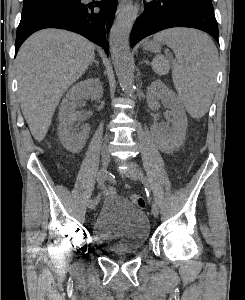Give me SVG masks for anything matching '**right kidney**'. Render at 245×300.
Wrapping results in <instances>:
<instances>
[{
    "label": "right kidney",
    "instance_id": "obj_1",
    "mask_svg": "<svg viewBox=\"0 0 245 300\" xmlns=\"http://www.w3.org/2000/svg\"><path fill=\"white\" fill-rule=\"evenodd\" d=\"M103 87L99 79H87L74 85L63 99L59 111V138L64 147L72 152L80 151L90 132L88 125L78 128L76 109L83 100L90 96L94 100L101 99Z\"/></svg>",
    "mask_w": 245,
    "mask_h": 300
}]
</instances>
